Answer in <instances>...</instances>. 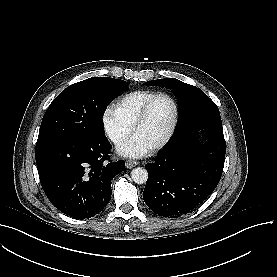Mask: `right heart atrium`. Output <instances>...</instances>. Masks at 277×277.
Returning a JSON list of instances; mask_svg holds the SVG:
<instances>
[{"label":"right heart atrium","mask_w":277,"mask_h":277,"mask_svg":"<svg viewBox=\"0 0 277 277\" xmlns=\"http://www.w3.org/2000/svg\"><path fill=\"white\" fill-rule=\"evenodd\" d=\"M103 131L111 140L118 141L128 132V126L113 111L106 110L102 116Z\"/></svg>","instance_id":"obj_1"}]
</instances>
